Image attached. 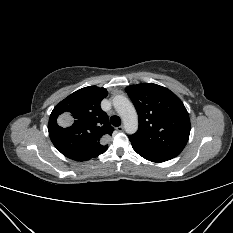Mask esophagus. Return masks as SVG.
Returning <instances> with one entry per match:
<instances>
[{"label": "esophagus", "mask_w": 233, "mask_h": 233, "mask_svg": "<svg viewBox=\"0 0 233 233\" xmlns=\"http://www.w3.org/2000/svg\"><path fill=\"white\" fill-rule=\"evenodd\" d=\"M116 130L118 132H122L124 130V127L123 126H118V127H116Z\"/></svg>", "instance_id": "34e87169"}]
</instances>
